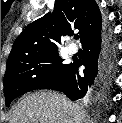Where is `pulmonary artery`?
Returning a JSON list of instances; mask_svg holds the SVG:
<instances>
[{
    "instance_id": "1",
    "label": "pulmonary artery",
    "mask_w": 122,
    "mask_h": 123,
    "mask_svg": "<svg viewBox=\"0 0 122 123\" xmlns=\"http://www.w3.org/2000/svg\"><path fill=\"white\" fill-rule=\"evenodd\" d=\"M67 51L71 55L76 54L78 52V47L75 44H69Z\"/></svg>"
}]
</instances>
